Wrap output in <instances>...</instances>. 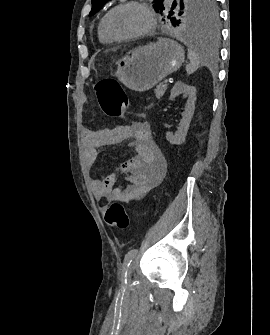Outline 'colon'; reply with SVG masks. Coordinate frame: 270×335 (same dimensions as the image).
I'll use <instances>...</instances> for the list:
<instances>
[{"mask_svg": "<svg viewBox=\"0 0 270 335\" xmlns=\"http://www.w3.org/2000/svg\"><path fill=\"white\" fill-rule=\"evenodd\" d=\"M93 91L105 115L118 117L129 109L130 102L116 81L108 79L97 83ZM104 219L110 227L118 230H125L132 223L131 215L120 202H111L105 207Z\"/></svg>", "mask_w": 270, "mask_h": 335, "instance_id": "colon-1", "label": "colon"}]
</instances>
